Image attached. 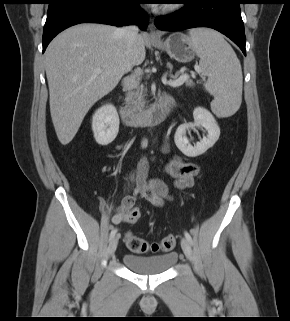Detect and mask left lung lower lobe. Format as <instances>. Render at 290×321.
<instances>
[{
  "instance_id": "1",
  "label": "left lung lower lobe",
  "mask_w": 290,
  "mask_h": 321,
  "mask_svg": "<svg viewBox=\"0 0 290 321\" xmlns=\"http://www.w3.org/2000/svg\"><path fill=\"white\" fill-rule=\"evenodd\" d=\"M179 3L185 4V7L177 13L156 18L155 24L160 30L213 28L230 38L246 55V38L239 6L242 0H180Z\"/></svg>"
}]
</instances>
